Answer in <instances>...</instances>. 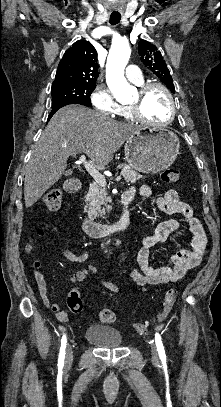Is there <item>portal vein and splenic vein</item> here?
<instances>
[{"label":"portal vein and splenic vein","instance_id":"18ae733b","mask_svg":"<svg viewBox=\"0 0 221 407\" xmlns=\"http://www.w3.org/2000/svg\"><path fill=\"white\" fill-rule=\"evenodd\" d=\"M79 163H81L86 171L90 174V176L94 179V181L102 186H106V179L104 175H102L95 166H93L91 163H89L86 160V156L83 154L79 158ZM121 180V175L117 176L115 178V181H120Z\"/></svg>","mask_w":221,"mask_h":407}]
</instances>
